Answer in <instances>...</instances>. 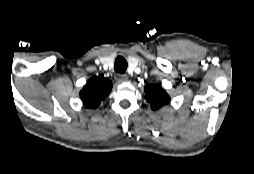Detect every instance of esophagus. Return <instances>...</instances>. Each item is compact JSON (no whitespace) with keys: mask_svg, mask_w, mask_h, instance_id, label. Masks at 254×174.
<instances>
[{"mask_svg":"<svg viewBox=\"0 0 254 174\" xmlns=\"http://www.w3.org/2000/svg\"><path fill=\"white\" fill-rule=\"evenodd\" d=\"M117 81L118 82H126V81H128V76L125 74H118Z\"/></svg>","mask_w":254,"mask_h":174,"instance_id":"obj_1","label":"esophagus"}]
</instances>
